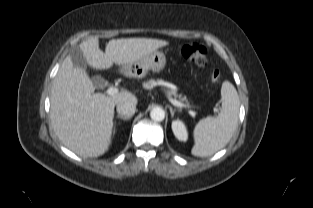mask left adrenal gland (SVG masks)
<instances>
[{"label":"left adrenal gland","instance_id":"left-adrenal-gland-1","mask_svg":"<svg viewBox=\"0 0 313 208\" xmlns=\"http://www.w3.org/2000/svg\"><path fill=\"white\" fill-rule=\"evenodd\" d=\"M168 107H169V109H170V113H171V117H172V118L174 117V113H175L176 111H181V110L173 109L171 106H168Z\"/></svg>","mask_w":313,"mask_h":208}]
</instances>
